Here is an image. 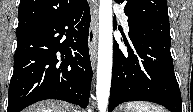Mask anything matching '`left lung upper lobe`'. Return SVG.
<instances>
[{"label": "left lung upper lobe", "mask_w": 193, "mask_h": 112, "mask_svg": "<svg viewBox=\"0 0 193 112\" xmlns=\"http://www.w3.org/2000/svg\"><path fill=\"white\" fill-rule=\"evenodd\" d=\"M124 5L128 23L165 17L168 18L166 0H115Z\"/></svg>", "instance_id": "left-lung-upper-lobe-1"}]
</instances>
